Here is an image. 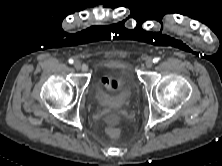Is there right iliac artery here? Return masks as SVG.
I'll return each instance as SVG.
<instances>
[{
  "instance_id": "1",
  "label": "right iliac artery",
  "mask_w": 222,
  "mask_h": 166,
  "mask_svg": "<svg viewBox=\"0 0 222 166\" xmlns=\"http://www.w3.org/2000/svg\"><path fill=\"white\" fill-rule=\"evenodd\" d=\"M68 62H69L70 64H73L74 61H73V59H69Z\"/></svg>"
}]
</instances>
